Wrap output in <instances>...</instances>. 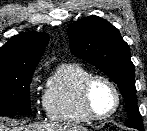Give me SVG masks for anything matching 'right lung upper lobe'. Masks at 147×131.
Returning a JSON list of instances; mask_svg holds the SVG:
<instances>
[{
	"label": "right lung upper lobe",
	"mask_w": 147,
	"mask_h": 131,
	"mask_svg": "<svg viewBox=\"0 0 147 131\" xmlns=\"http://www.w3.org/2000/svg\"><path fill=\"white\" fill-rule=\"evenodd\" d=\"M49 36L46 33H21L0 48V70H34Z\"/></svg>",
	"instance_id": "cb5924a9"
}]
</instances>
